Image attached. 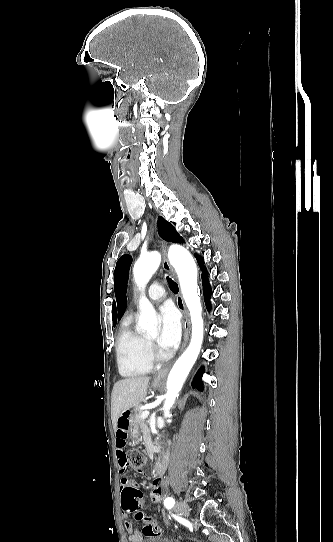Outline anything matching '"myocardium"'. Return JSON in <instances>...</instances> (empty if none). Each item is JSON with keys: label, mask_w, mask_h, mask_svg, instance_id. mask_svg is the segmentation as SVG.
<instances>
[{"label": "myocardium", "mask_w": 333, "mask_h": 542, "mask_svg": "<svg viewBox=\"0 0 333 542\" xmlns=\"http://www.w3.org/2000/svg\"><path fill=\"white\" fill-rule=\"evenodd\" d=\"M146 352H147L148 358L153 363H158V364L165 363L172 358V354L162 355L161 353H159V351L156 348V345L149 338L146 339Z\"/></svg>", "instance_id": "f54148a6"}]
</instances>
